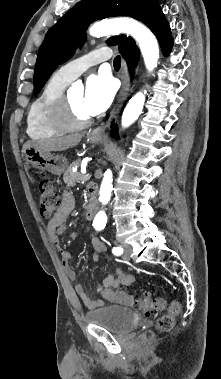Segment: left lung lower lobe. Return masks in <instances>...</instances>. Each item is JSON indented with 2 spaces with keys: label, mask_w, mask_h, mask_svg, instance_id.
Here are the masks:
<instances>
[{
  "label": "left lung lower lobe",
  "mask_w": 221,
  "mask_h": 379,
  "mask_svg": "<svg viewBox=\"0 0 221 379\" xmlns=\"http://www.w3.org/2000/svg\"><path fill=\"white\" fill-rule=\"evenodd\" d=\"M142 22L145 23L155 34L163 53L167 55L171 50L173 39L171 37L169 24L166 21L159 4H154L149 9ZM119 51L127 60L131 70H133L139 59V50L135 44V41L130 37H125L119 43ZM117 131V125H114L110 132L111 136L115 137Z\"/></svg>",
  "instance_id": "1"
}]
</instances>
